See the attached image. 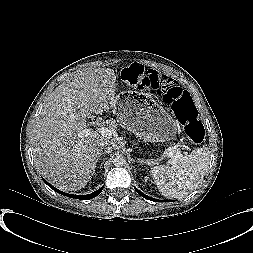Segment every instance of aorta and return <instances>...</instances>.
I'll use <instances>...</instances> for the list:
<instances>
[{"mask_svg": "<svg viewBox=\"0 0 253 253\" xmlns=\"http://www.w3.org/2000/svg\"><path fill=\"white\" fill-rule=\"evenodd\" d=\"M113 164H114L116 167L123 166V165L125 164V159L123 158V156L117 155V156L113 159Z\"/></svg>", "mask_w": 253, "mask_h": 253, "instance_id": "762f6f07", "label": "aorta"}]
</instances>
